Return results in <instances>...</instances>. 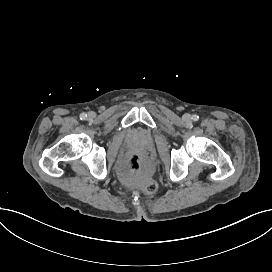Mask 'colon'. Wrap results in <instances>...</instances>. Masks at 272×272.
<instances>
[{"mask_svg": "<svg viewBox=\"0 0 272 272\" xmlns=\"http://www.w3.org/2000/svg\"><path fill=\"white\" fill-rule=\"evenodd\" d=\"M146 167L147 165L145 161L139 155L135 154L121 163L120 170L124 173L135 175ZM145 190L148 193H154L157 190V184L154 182H148Z\"/></svg>", "mask_w": 272, "mask_h": 272, "instance_id": "1", "label": "colon"}]
</instances>
